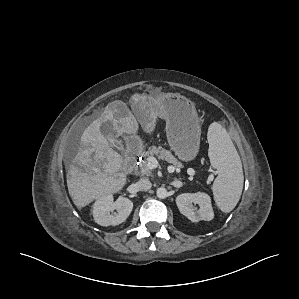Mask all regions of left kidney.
Segmentation results:
<instances>
[{"mask_svg": "<svg viewBox=\"0 0 299 299\" xmlns=\"http://www.w3.org/2000/svg\"><path fill=\"white\" fill-rule=\"evenodd\" d=\"M194 204L199 205L196 209ZM176 204L181 214L186 216L192 222L200 220L210 221L214 218V212L211 205V198L203 192L183 193L177 196Z\"/></svg>", "mask_w": 299, "mask_h": 299, "instance_id": "obj_1", "label": "left kidney"}]
</instances>
